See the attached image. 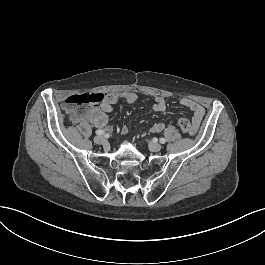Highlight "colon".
Returning <instances> with one entry per match:
<instances>
[{"mask_svg": "<svg viewBox=\"0 0 265 265\" xmlns=\"http://www.w3.org/2000/svg\"><path fill=\"white\" fill-rule=\"evenodd\" d=\"M103 95L101 93L84 92L75 93L66 97L61 103L60 111L64 118L71 119L76 116V109L79 107H93L103 102ZM179 126L183 135L187 136L193 132V124L189 119L181 118Z\"/></svg>", "mask_w": 265, "mask_h": 265, "instance_id": "1", "label": "colon"}]
</instances>
